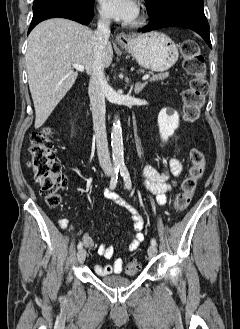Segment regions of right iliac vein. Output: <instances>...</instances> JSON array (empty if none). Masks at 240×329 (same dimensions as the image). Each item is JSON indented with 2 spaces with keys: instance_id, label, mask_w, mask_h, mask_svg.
<instances>
[{
  "instance_id": "1",
  "label": "right iliac vein",
  "mask_w": 240,
  "mask_h": 329,
  "mask_svg": "<svg viewBox=\"0 0 240 329\" xmlns=\"http://www.w3.org/2000/svg\"><path fill=\"white\" fill-rule=\"evenodd\" d=\"M86 250L85 249H80L77 253V259L79 263H82L85 258H86Z\"/></svg>"
}]
</instances>
